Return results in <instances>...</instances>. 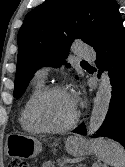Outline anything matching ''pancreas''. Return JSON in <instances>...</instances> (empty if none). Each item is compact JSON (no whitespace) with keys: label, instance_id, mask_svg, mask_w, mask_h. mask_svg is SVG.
<instances>
[{"label":"pancreas","instance_id":"1","mask_svg":"<svg viewBox=\"0 0 125 167\" xmlns=\"http://www.w3.org/2000/svg\"><path fill=\"white\" fill-rule=\"evenodd\" d=\"M66 160H67L66 158L58 159L57 160L58 166L59 167H65Z\"/></svg>","mask_w":125,"mask_h":167}]
</instances>
